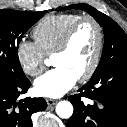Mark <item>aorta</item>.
Instances as JSON below:
<instances>
[{
    "label": "aorta",
    "mask_w": 127,
    "mask_h": 127,
    "mask_svg": "<svg viewBox=\"0 0 127 127\" xmlns=\"http://www.w3.org/2000/svg\"><path fill=\"white\" fill-rule=\"evenodd\" d=\"M56 113L60 118L68 119L73 114V106L69 101H60L56 105Z\"/></svg>",
    "instance_id": "1"
}]
</instances>
